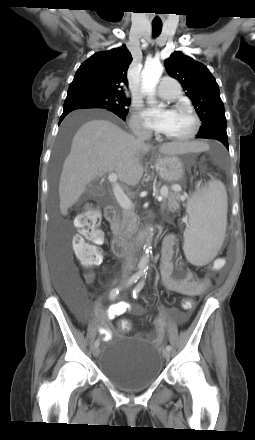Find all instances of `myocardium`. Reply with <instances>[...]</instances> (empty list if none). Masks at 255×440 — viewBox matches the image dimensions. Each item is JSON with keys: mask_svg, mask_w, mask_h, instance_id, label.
<instances>
[{"mask_svg": "<svg viewBox=\"0 0 255 440\" xmlns=\"http://www.w3.org/2000/svg\"><path fill=\"white\" fill-rule=\"evenodd\" d=\"M175 110H183V111L187 112L190 115V117L192 118L193 127L184 136L172 137V136H169V135H165L166 139L172 140V141H175V142H185V141H189V140L193 139L197 135L199 130H200V126H201L200 118L198 117L196 112L190 106L185 105V104H176L175 105Z\"/></svg>", "mask_w": 255, "mask_h": 440, "instance_id": "obj_1", "label": "myocardium"}]
</instances>
